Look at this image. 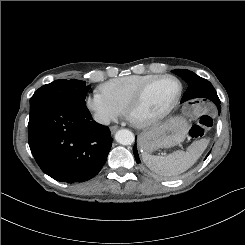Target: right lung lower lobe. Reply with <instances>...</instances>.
<instances>
[{
    "label": "right lung lower lobe",
    "mask_w": 245,
    "mask_h": 245,
    "mask_svg": "<svg viewBox=\"0 0 245 245\" xmlns=\"http://www.w3.org/2000/svg\"><path fill=\"white\" fill-rule=\"evenodd\" d=\"M28 136L42 171L66 183L97 175L112 145L109 128L93 121L87 108L58 102L42 103L30 110Z\"/></svg>",
    "instance_id": "98d812e1"
}]
</instances>
